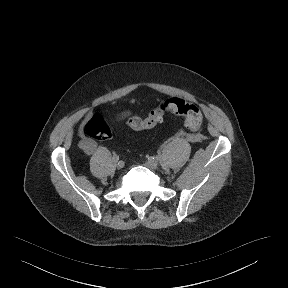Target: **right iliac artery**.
<instances>
[{"instance_id": "obj_1", "label": "right iliac artery", "mask_w": 288, "mask_h": 288, "mask_svg": "<svg viewBox=\"0 0 288 288\" xmlns=\"http://www.w3.org/2000/svg\"><path fill=\"white\" fill-rule=\"evenodd\" d=\"M118 159H119V156H118L117 154H114V155H113V160L118 161Z\"/></svg>"}]
</instances>
